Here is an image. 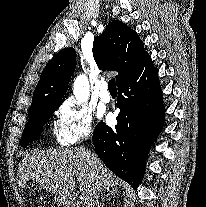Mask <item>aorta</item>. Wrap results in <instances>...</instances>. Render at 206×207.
<instances>
[{
	"mask_svg": "<svg viewBox=\"0 0 206 207\" xmlns=\"http://www.w3.org/2000/svg\"><path fill=\"white\" fill-rule=\"evenodd\" d=\"M73 93L75 95L77 103H83L89 98V84L85 76H79L76 78L73 85Z\"/></svg>",
	"mask_w": 206,
	"mask_h": 207,
	"instance_id": "obj_1",
	"label": "aorta"
}]
</instances>
